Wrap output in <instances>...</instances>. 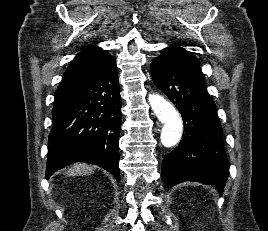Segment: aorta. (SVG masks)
<instances>
[{
    "mask_svg": "<svg viewBox=\"0 0 268 231\" xmlns=\"http://www.w3.org/2000/svg\"><path fill=\"white\" fill-rule=\"evenodd\" d=\"M148 100L154 114L164 124L160 136L162 145L167 148L175 146L182 136L181 116L174 106L160 95L150 94Z\"/></svg>",
    "mask_w": 268,
    "mask_h": 231,
    "instance_id": "762f6f07",
    "label": "aorta"
}]
</instances>
